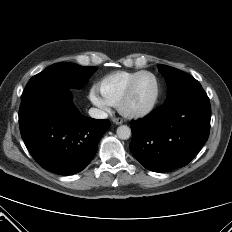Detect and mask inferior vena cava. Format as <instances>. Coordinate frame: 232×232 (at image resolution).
Masks as SVG:
<instances>
[{"mask_svg": "<svg viewBox=\"0 0 232 232\" xmlns=\"http://www.w3.org/2000/svg\"><path fill=\"white\" fill-rule=\"evenodd\" d=\"M88 113L92 118L95 119H106L108 117L106 112L97 108H90Z\"/></svg>", "mask_w": 232, "mask_h": 232, "instance_id": "inferior-vena-cava-1", "label": "inferior vena cava"}]
</instances>
